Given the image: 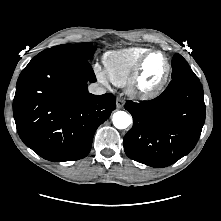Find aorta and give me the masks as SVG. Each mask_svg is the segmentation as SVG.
I'll list each match as a JSON object with an SVG mask.
<instances>
[{
	"instance_id": "obj_1",
	"label": "aorta",
	"mask_w": 221,
	"mask_h": 221,
	"mask_svg": "<svg viewBox=\"0 0 221 221\" xmlns=\"http://www.w3.org/2000/svg\"><path fill=\"white\" fill-rule=\"evenodd\" d=\"M112 121L117 129H126L132 123V117L125 111H117L113 114Z\"/></svg>"
}]
</instances>
